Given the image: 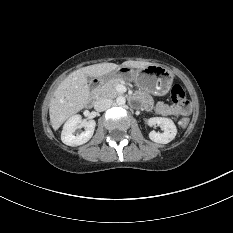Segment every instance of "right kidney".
Segmentation results:
<instances>
[{"label": "right kidney", "mask_w": 233, "mask_h": 233, "mask_svg": "<svg viewBox=\"0 0 233 233\" xmlns=\"http://www.w3.org/2000/svg\"><path fill=\"white\" fill-rule=\"evenodd\" d=\"M78 125L85 127V131L79 135H74V131ZM96 122L94 120L82 121L80 115H73L63 126L61 140L68 146H79L88 142L93 136Z\"/></svg>", "instance_id": "1"}]
</instances>
